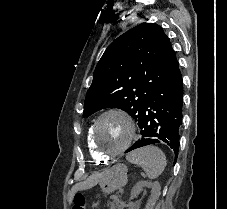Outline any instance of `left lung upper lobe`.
I'll return each instance as SVG.
<instances>
[{
    "instance_id": "5c2ea615",
    "label": "left lung upper lobe",
    "mask_w": 227,
    "mask_h": 209,
    "mask_svg": "<svg viewBox=\"0 0 227 209\" xmlns=\"http://www.w3.org/2000/svg\"><path fill=\"white\" fill-rule=\"evenodd\" d=\"M177 64L170 40L159 25L142 23L130 29L115 39L99 60L83 116L120 108L137 121Z\"/></svg>"
}]
</instances>
